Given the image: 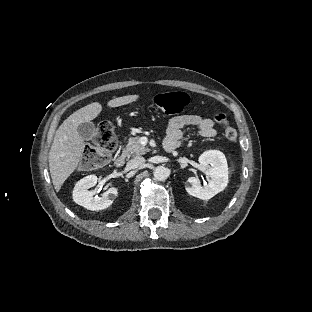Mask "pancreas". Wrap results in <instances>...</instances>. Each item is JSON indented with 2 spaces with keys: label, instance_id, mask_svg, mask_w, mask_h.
Returning a JSON list of instances; mask_svg holds the SVG:
<instances>
[{
  "label": "pancreas",
  "instance_id": "pancreas-1",
  "mask_svg": "<svg viewBox=\"0 0 312 312\" xmlns=\"http://www.w3.org/2000/svg\"><path fill=\"white\" fill-rule=\"evenodd\" d=\"M148 150L149 149L140 144V137L134 136L129 138V142L123 150V155L128 157L140 156L146 154Z\"/></svg>",
  "mask_w": 312,
  "mask_h": 312
}]
</instances>
